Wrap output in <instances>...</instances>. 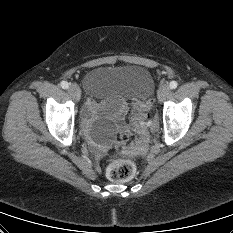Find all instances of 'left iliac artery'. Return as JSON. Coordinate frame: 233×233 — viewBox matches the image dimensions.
Masks as SVG:
<instances>
[{
	"label": "left iliac artery",
	"instance_id": "left-iliac-artery-1",
	"mask_svg": "<svg viewBox=\"0 0 233 233\" xmlns=\"http://www.w3.org/2000/svg\"><path fill=\"white\" fill-rule=\"evenodd\" d=\"M178 83L176 81H171L169 84L170 89H175L177 88Z\"/></svg>",
	"mask_w": 233,
	"mask_h": 233
}]
</instances>
